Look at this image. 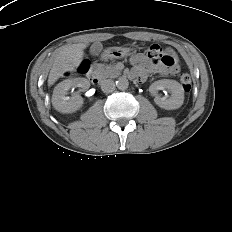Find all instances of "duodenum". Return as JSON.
Segmentation results:
<instances>
[{
    "instance_id": "1",
    "label": "duodenum",
    "mask_w": 232,
    "mask_h": 232,
    "mask_svg": "<svg viewBox=\"0 0 232 232\" xmlns=\"http://www.w3.org/2000/svg\"><path fill=\"white\" fill-rule=\"evenodd\" d=\"M88 79L93 83H98L100 81V77L98 71L95 67H91L87 72Z\"/></svg>"
}]
</instances>
